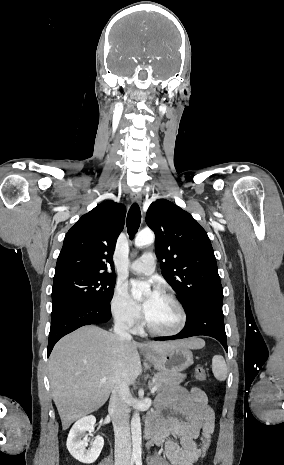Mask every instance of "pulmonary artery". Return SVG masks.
I'll use <instances>...</instances> for the list:
<instances>
[{
    "label": "pulmonary artery",
    "instance_id": "1",
    "mask_svg": "<svg viewBox=\"0 0 284 465\" xmlns=\"http://www.w3.org/2000/svg\"><path fill=\"white\" fill-rule=\"evenodd\" d=\"M155 254L144 253L129 265L130 270L139 275L150 274L155 268Z\"/></svg>",
    "mask_w": 284,
    "mask_h": 465
}]
</instances>
